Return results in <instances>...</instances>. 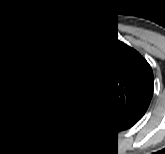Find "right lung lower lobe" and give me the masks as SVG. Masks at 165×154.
<instances>
[{"label":"right lung lower lobe","mask_w":165,"mask_h":154,"mask_svg":"<svg viewBox=\"0 0 165 154\" xmlns=\"http://www.w3.org/2000/svg\"><path fill=\"white\" fill-rule=\"evenodd\" d=\"M76 99L77 93L65 91L44 103L17 114V116L31 131L51 132L63 123L69 106Z\"/></svg>","instance_id":"obj_1"}]
</instances>
